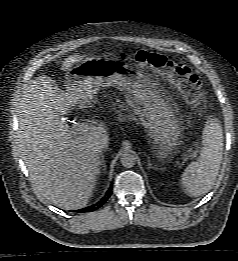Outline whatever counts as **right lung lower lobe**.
Listing matches in <instances>:
<instances>
[{"label":"right lung lower lobe","instance_id":"right-lung-lower-lobe-1","mask_svg":"<svg viewBox=\"0 0 238 261\" xmlns=\"http://www.w3.org/2000/svg\"><path fill=\"white\" fill-rule=\"evenodd\" d=\"M109 197H110V194H107V195L102 199V201L99 202V206L96 207V208L91 209L90 211H93V210H95V209L101 207V206L108 200Z\"/></svg>","mask_w":238,"mask_h":261}]
</instances>
